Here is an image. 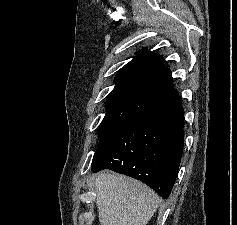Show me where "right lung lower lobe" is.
<instances>
[{"label": "right lung lower lobe", "mask_w": 237, "mask_h": 225, "mask_svg": "<svg viewBox=\"0 0 237 225\" xmlns=\"http://www.w3.org/2000/svg\"><path fill=\"white\" fill-rule=\"evenodd\" d=\"M184 111L177 96L142 112L112 131L98 146L94 173L110 169L143 181L167 198L184 146Z\"/></svg>", "instance_id": "98d812e1"}]
</instances>
